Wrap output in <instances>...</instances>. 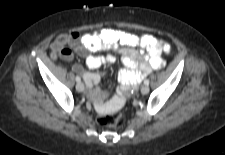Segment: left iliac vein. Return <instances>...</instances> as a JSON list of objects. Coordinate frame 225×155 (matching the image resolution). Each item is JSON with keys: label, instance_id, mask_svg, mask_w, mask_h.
Returning <instances> with one entry per match:
<instances>
[{"label": "left iliac vein", "instance_id": "1", "mask_svg": "<svg viewBox=\"0 0 225 155\" xmlns=\"http://www.w3.org/2000/svg\"><path fill=\"white\" fill-rule=\"evenodd\" d=\"M149 87L147 85H144L141 87V93L142 94H148L149 93Z\"/></svg>", "mask_w": 225, "mask_h": 155}]
</instances>
